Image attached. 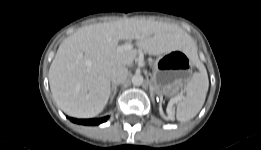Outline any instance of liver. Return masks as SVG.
<instances>
[{
  "instance_id": "1",
  "label": "liver",
  "mask_w": 261,
  "mask_h": 150,
  "mask_svg": "<svg viewBox=\"0 0 261 150\" xmlns=\"http://www.w3.org/2000/svg\"><path fill=\"white\" fill-rule=\"evenodd\" d=\"M133 39L149 55L196 50L192 38L170 23L126 18L82 27L60 44L50 65L48 78L57 105L78 118L98 115L110 97L112 68L130 65L137 56L135 49L118 50V43Z\"/></svg>"
}]
</instances>
